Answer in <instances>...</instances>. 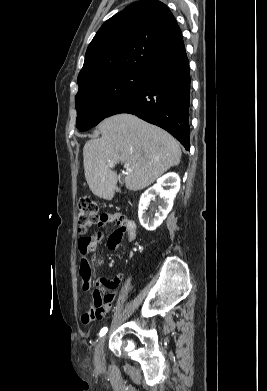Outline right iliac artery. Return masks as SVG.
<instances>
[{
  "label": "right iliac artery",
  "instance_id": "1",
  "mask_svg": "<svg viewBox=\"0 0 267 391\" xmlns=\"http://www.w3.org/2000/svg\"><path fill=\"white\" fill-rule=\"evenodd\" d=\"M106 332H107V327H104L103 329H101V331H100V336H103V335H105L106 334Z\"/></svg>",
  "mask_w": 267,
  "mask_h": 391
}]
</instances>
